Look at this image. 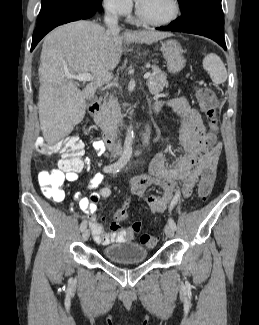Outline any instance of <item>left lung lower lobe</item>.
Masks as SVG:
<instances>
[{"mask_svg":"<svg viewBox=\"0 0 259 325\" xmlns=\"http://www.w3.org/2000/svg\"><path fill=\"white\" fill-rule=\"evenodd\" d=\"M159 30L177 31L208 37L226 50L224 16L220 3L209 0L193 1L182 16Z\"/></svg>","mask_w":259,"mask_h":325,"instance_id":"1","label":"left lung lower lobe"}]
</instances>
